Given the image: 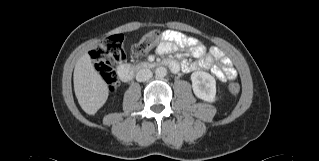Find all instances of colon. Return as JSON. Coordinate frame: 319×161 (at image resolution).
Here are the masks:
<instances>
[{
	"instance_id": "5ec220e1",
	"label": "colon",
	"mask_w": 319,
	"mask_h": 161,
	"mask_svg": "<svg viewBox=\"0 0 319 161\" xmlns=\"http://www.w3.org/2000/svg\"><path fill=\"white\" fill-rule=\"evenodd\" d=\"M161 41L160 33L151 31L138 40L133 47V51L138 56L146 55ZM91 58L107 87L113 90L117 86L115 64L124 58L122 36L118 34L109 36L91 53ZM229 91L233 95L238 94L240 91L238 82H230Z\"/></svg>"
}]
</instances>
